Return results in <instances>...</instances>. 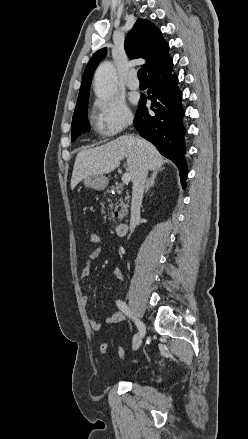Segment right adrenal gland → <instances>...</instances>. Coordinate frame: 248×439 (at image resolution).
I'll list each match as a JSON object with an SVG mask.
<instances>
[{"instance_id": "2a0ac1e0", "label": "right adrenal gland", "mask_w": 248, "mask_h": 439, "mask_svg": "<svg viewBox=\"0 0 248 439\" xmlns=\"http://www.w3.org/2000/svg\"><path fill=\"white\" fill-rule=\"evenodd\" d=\"M160 172V170L157 171H153L150 178L147 180L146 185H145V192L147 193L148 190L150 189V187L154 186L155 184V179L158 175V173Z\"/></svg>"}]
</instances>
